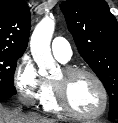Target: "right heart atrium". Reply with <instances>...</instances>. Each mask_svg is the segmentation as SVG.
Segmentation results:
<instances>
[{"instance_id":"right-heart-atrium-1","label":"right heart atrium","mask_w":118,"mask_h":123,"mask_svg":"<svg viewBox=\"0 0 118 123\" xmlns=\"http://www.w3.org/2000/svg\"><path fill=\"white\" fill-rule=\"evenodd\" d=\"M14 82L21 101L28 105L40 102L47 90V81L40 76L34 62L23 57L14 72Z\"/></svg>"}]
</instances>
